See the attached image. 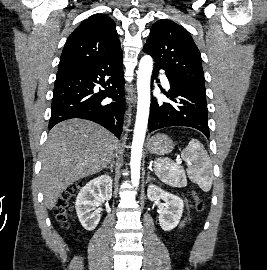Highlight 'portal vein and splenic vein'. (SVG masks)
Returning a JSON list of instances; mask_svg holds the SVG:
<instances>
[{
	"mask_svg": "<svg viewBox=\"0 0 267 270\" xmlns=\"http://www.w3.org/2000/svg\"><path fill=\"white\" fill-rule=\"evenodd\" d=\"M176 161H177V162H181V159L178 157V158L176 159Z\"/></svg>",
	"mask_w": 267,
	"mask_h": 270,
	"instance_id": "18ae733b",
	"label": "portal vein and splenic vein"
}]
</instances>
